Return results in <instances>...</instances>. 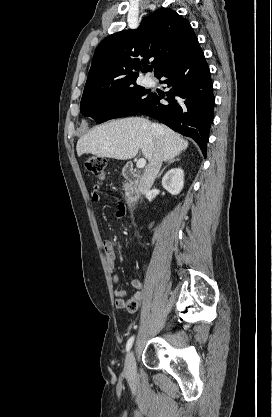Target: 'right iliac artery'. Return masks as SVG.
<instances>
[{"instance_id":"obj_1","label":"right iliac artery","mask_w":272,"mask_h":417,"mask_svg":"<svg viewBox=\"0 0 272 417\" xmlns=\"http://www.w3.org/2000/svg\"><path fill=\"white\" fill-rule=\"evenodd\" d=\"M133 341H134V336H132V337H131L128 341H127V344H126V351H127V352L131 349L132 344H133Z\"/></svg>"}]
</instances>
